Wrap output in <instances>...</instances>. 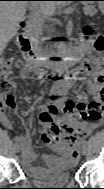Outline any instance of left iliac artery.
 <instances>
[{"mask_svg":"<svg viewBox=\"0 0 104 189\" xmlns=\"http://www.w3.org/2000/svg\"><path fill=\"white\" fill-rule=\"evenodd\" d=\"M82 144H83V148H86V146L88 145L87 141H83Z\"/></svg>","mask_w":104,"mask_h":189,"instance_id":"1","label":"left iliac artery"}]
</instances>
